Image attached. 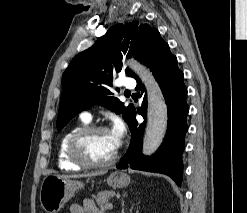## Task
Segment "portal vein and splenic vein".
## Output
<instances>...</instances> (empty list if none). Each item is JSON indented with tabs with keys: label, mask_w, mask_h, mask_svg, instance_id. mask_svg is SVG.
<instances>
[{
	"label": "portal vein and splenic vein",
	"mask_w": 247,
	"mask_h": 213,
	"mask_svg": "<svg viewBox=\"0 0 247 213\" xmlns=\"http://www.w3.org/2000/svg\"><path fill=\"white\" fill-rule=\"evenodd\" d=\"M106 208H107V209H112V208H113V204H112V203H108V204L106 205Z\"/></svg>",
	"instance_id": "portal-vein-and-splenic-vein-1"
}]
</instances>
